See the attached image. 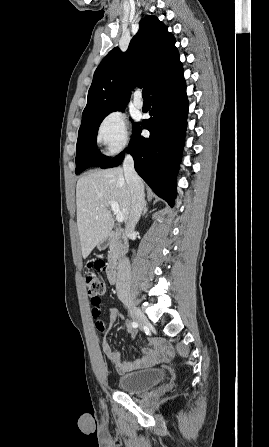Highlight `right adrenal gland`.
I'll use <instances>...</instances> for the list:
<instances>
[{
	"label": "right adrenal gland",
	"instance_id": "1",
	"mask_svg": "<svg viewBox=\"0 0 269 447\" xmlns=\"http://www.w3.org/2000/svg\"><path fill=\"white\" fill-rule=\"evenodd\" d=\"M146 212H148L147 202H145V204H144V208H143V214H142V216H145Z\"/></svg>",
	"mask_w": 269,
	"mask_h": 447
}]
</instances>
